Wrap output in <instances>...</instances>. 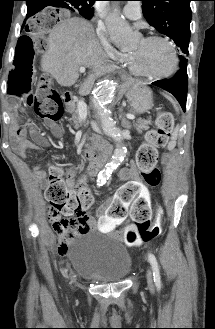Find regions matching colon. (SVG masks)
I'll return each mask as SVG.
<instances>
[{
  "label": "colon",
  "instance_id": "obj_1",
  "mask_svg": "<svg viewBox=\"0 0 215 329\" xmlns=\"http://www.w3.org/2000/svg\"><path fill=\"white\" fill-rule=\"evenodd\" d=\"M28 25H24L25 37H17L18 55L13 61L7 62L9 73L12 74L9 86H6L10 109H19V103H29L34 107L38 117L57 121L61 117L59 93L50 87V74H38L36 90L33 91L30 80L34 81L33 62L37 51L42 47L41 38H52L54 26H62V21H69V14H61L57 10L48 14H32ZM174 117L170 111L162 110L156 119V127L146 133V141L140 146L136 155L138 168L145 183L156 188L161 181L157 168L158 149L164 147L171 135ZM137 187V186H136ZM46 198L51 210L60 215V220L53 224L59 234L72 228L81 217H85L93 203V196L86 183L71 186L60 166H53L49 172V185ZM150 202V199H148ZM113 203V202H112ZM155 221H166L165 206H156ZM133 223L125 228L128 240L140 239L149 242L157 238L162 231L160 222L150 225L151 218H132ZM106 220V219H102Z\"/></svg>",
  "mask_w": 215,
  "mask_h": 329
}]
</instances>
